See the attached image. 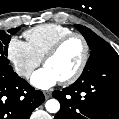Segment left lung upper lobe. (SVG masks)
Instances as JSON below:
<instances>
[{
	"label": "left lung upper lobe",
	"instance_id": "5c2ea615",
	"mask_svg": "<svg viewBox=\"0 0 119 119\" xmlns=\"http://www.w3.org/2000/svg\"><path fill=\"white\" fill-rule=\"evenodd\" d=\"M75 27L82 33L91 49L89 60L82 75L86 74L91 68L103 62L119 58L116 51L93 31L82 25H75Z\"/></svg>",
	"mask_w": 119,
	"mask_h": 119
}]
</instances>
